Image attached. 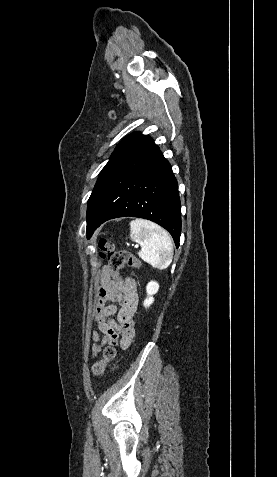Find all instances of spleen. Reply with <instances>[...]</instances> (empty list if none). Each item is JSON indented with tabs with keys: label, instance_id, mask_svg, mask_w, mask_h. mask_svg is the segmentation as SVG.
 <instances>
[{
	"label": "spleen",
	"instance_id": "spleen-1",
	"mask_svg": "<svg viewBox=\"0 0 277 477\" xmlns=\"http://www.w3.org/2000/svg\"><path fill=\"white\" fill-rule=\"evenodd\" d=\"M130 238L141 246L139 257L157 269H166L172 262L173 242L157 224L144 219L130 222Z\"/></svg>",
	"mask_w": 277,
	"mask_h": 477
}]
</instances>
